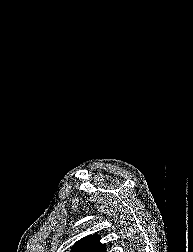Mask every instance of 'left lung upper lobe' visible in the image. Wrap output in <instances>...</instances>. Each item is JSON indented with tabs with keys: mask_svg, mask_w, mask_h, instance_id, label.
<instances>
[{
	"mask_svg": "<svg viewBox=\"0 0 193 252\" xmlns=\"http://www.w3.org/2000/svg\"><path fill=\"white\" fill-rule=\"evenodd\" d=\"M99 240L100 237L96 234L84 237L74 244L71 252H105V247Z\"/></svg>",
	"mask_w": 193,
	"mask_h": 252,
	"instance_id": "left-lung-upper-lobe-1",
	"label": "left lung upper lobe"
}]
</instances>
